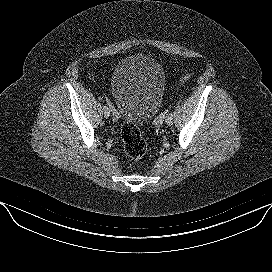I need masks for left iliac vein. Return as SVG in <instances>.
<instances>
[{
  "label": "left iliac vein",
  "instance_id": "4c4485c4",
  "mask_svg": "<svg viewBox=\"0 0 272 272\" xmlns=\"http://www.w3.org/2000/svg\"><path fill=\"white\" fill-rule=\"evenodd\" d=\"M172 121H173V116L171 117L167 116L165 119L166 124L169 126L172 124Z\"/></svg>",
  "mask_w": 272,
  "mask_h": 272
}]
</instances>
